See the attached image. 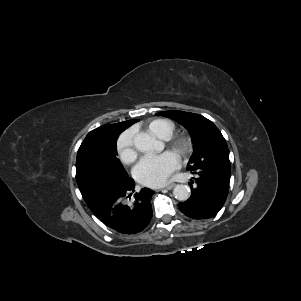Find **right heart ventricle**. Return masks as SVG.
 I'll return each instance as SVG.
<instances>
[{
    "mask_svg": "<svg viewBox=\"0 0 301 301\" xmlns=\"http://www.w3.org/2000/svg\"><path fill=\"white\" fill-rule=\"evenodd\" d=\"M147 131H149L154 136L161 139H168L174 132V124L165 119H156L151 121L147 126Z\"/></svg>",
    "mask_w": 301,
    "mask_h": 301,
    "instance_id": "e07e8e85",
    "label": "right heart ventricle"
}]
</instances>
